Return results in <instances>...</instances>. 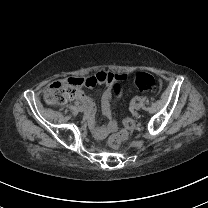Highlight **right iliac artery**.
Instances as JSON below:
<instances>
[{"mask_svg": "<svg viewBox=\"0 0 208 208\" xmlns=\"http://www.w3.org/2000/svg\"><path fill=\"white\" fill-rule=\"evenodd\" d=\"M75 105H76L77 107H79V106H80V103H79L78 101H76V102H75Z\"/></svg>", "mask_w": 208, "mask_h": 208, "instance_id": "82829eb1", "label": "right iliac artery"}]
</instances>
